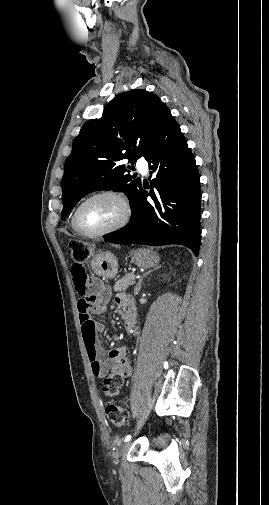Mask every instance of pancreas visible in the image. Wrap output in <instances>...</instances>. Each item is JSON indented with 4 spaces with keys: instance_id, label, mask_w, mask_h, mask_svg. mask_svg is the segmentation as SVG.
I'll return each mask as SVG.
<instances>
[{
    "instance_id": "obj_1",
    "label": "pancreas",
    "mask_w": 269,
    "mask_h": 505,
    "mask_svg": "<svg viewBox=\"0 0 269 505\" xmlns=\"http://www.w3.org/2000/svg\"><path fill=\"white\" fill-rule=\"evenodd\" d=\"M135 282V274L133 272L126 274L124 277L119 279L113 289L114 291L120 292L125 291L129 286L133 285Z\"/></svg>"
}]
</instances>
